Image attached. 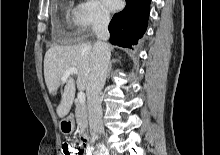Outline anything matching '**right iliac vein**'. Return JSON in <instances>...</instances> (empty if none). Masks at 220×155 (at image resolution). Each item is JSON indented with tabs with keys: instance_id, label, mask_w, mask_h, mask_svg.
<instances>
[{
	"instance_id": "1",
	"label": "right iliac vein",
	"mask_w": 220,
	"mask_h": 155,
	"mask_svg": "<svg viewBox=\"0 0 220 155\" xmlns=\"http://www.w3.org/2000/svg\"><path fill=\"white\" fill-rule=\"evenodd\" d=\"M100 155H109V153L104 152V153H101Z\"/></svg>"
}]
</instances>
